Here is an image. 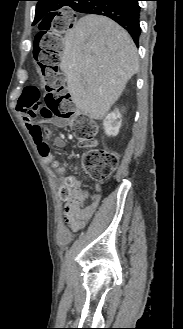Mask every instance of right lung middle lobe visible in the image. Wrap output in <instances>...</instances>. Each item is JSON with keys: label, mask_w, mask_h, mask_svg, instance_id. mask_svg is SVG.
Instances as JSON below:
<instances>
[{"label": "right lung middle lobe", "mask_w": 183, "mask_h": 329, "mask_svg": "<svg viewBox=\"0 0 183 329\" xmlns=\"http://www.w3.org/2000/svg\"><path fill=\"white\" fill-rule=\"evenodd\" d=\"M39 15V13L38 12H36V16H38Z\"/></svg>", "instance_id": "dd1d6c3e"}]
</instances>
